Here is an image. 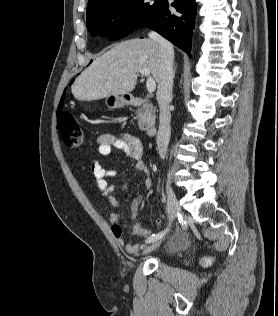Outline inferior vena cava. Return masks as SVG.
I'll return each mask as SVG.
<instances>
[{
	"label": "inferior vena cava",
	"mask_w": 278,
	"mask_h": 316,
	"mask_svg": "<svg viewBox=\"0 0 278 316\" xmlns=\"http://www.w3.org/2000/svg\"><path fill=\"white\" fill-rule=\"evenodd\" d=\"M148 36L150 39L156 41L160 47L161 74L157 89V101L160 108V124L156 143L159 156L164 159L171 134V113L169 110V103L172 100L174 52L172 45L158 33L151 31Z\"/></svg>",
	"instance_id": "obj_1"
}]
</instances>
